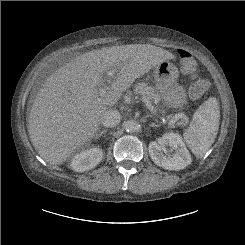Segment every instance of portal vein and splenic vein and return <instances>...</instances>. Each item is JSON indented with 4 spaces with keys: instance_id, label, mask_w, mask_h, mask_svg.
<instances>
[{
    "instance_id": "portal-vein-and-splenic-vein-1",
    "label": "portal vein and splenic vein",
    "mask_w": 245,
    "mask_h": 245,
    "mask_svg": "<svg viewBox=\"0 0 245 245\" xmlns=\"http://www.w3.org/2000/svg\"><path fill=\"white\" fill-rule=\"evenodd\" d=\"M108 79H107V82L110 83L111 81V78L113 77L114 75V72L113 71H109L108 72ZM109 89L108 86L106 85H103L100 90H99V93L101 96H104L106 94V91ZM142 101L145 103V105L147 106V108L152 112V113H155L156 110L154 108V106L152 105V103L145 97H142ZM178 118H181V119H184V120H188V117L184 114H179L177 117H174L170 122H169V126L172 127L174 126V124L177 122Z\"/></svg>"
}]
</instances>
